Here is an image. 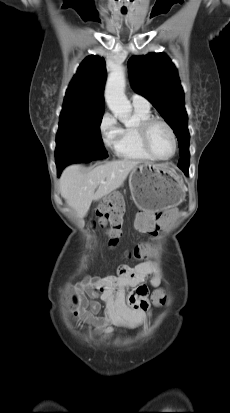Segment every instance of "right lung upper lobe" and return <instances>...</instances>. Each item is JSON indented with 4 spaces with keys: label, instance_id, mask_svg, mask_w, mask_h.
<instances>
[{
    "label": "right lung upper lobe",
    "instance_id": "right-lung-upper-lobe-1",
    "mask_svg": "<svg viewBox=\"0 0 230 413\" xmlns=\"http://www.w3.org/2000/svg\"><path fill=\"white\" fill-rule=\"evenodd\" d=\"M105 60L88 56L79 66L66 91L60 121L86 120L104 114Z\"/></svg>",
    "mask_w": 230,
    "mask_h": 413
}]
</instances>
